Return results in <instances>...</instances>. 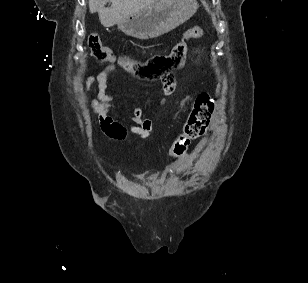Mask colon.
<instances>
[{
	"instance_id": "5ec220e1",
	"label": "colon",
	"mask_w": 308,
	"mask_h": 283,
	"mask_svg": "<svg viewBox=\"0 0 308 283\" xmlns=\"http://www.w3.org/2000/svg\"><path fill=\"white\" fill-rule=\"evenodd\" d=\"M201 27L186 30L181 39L165 54L154 55L146 61H134L124 56H119L102 44L96 33H90L87 44L94 57L102 62L117 63L122 69L132 75L145 80H159L165 86H174L172 72L180 68L186 58L187 43L192 39L203 37ZM214 111V100L208 93H201L194 101L191 112L183 124L180 133L173 140L169 156L174 160L181 159L191 142L201 137L211 120Z\"/></svg>"
}]
</instances>
